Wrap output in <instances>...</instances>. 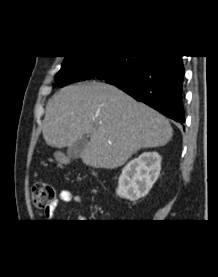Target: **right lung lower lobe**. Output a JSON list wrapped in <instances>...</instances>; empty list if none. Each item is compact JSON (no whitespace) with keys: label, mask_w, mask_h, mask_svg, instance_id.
<instances>
[{"label":"right lung lower lobe","mask_w":218,"mask_h":277,"mask_svg":"<svg viewBox=\"0 0 218 277\" xmlns=\"http://www.w3.org/2000/svg\"><path fill=\"white\" fill-rule=\"evenodd\" d=\"M183 77L181 56L154 55L126 82L110 84L183 125ZM94 78L102 76L85 74L81 80Z\"/></svg>","instance_id":"1"}]
</instances>
